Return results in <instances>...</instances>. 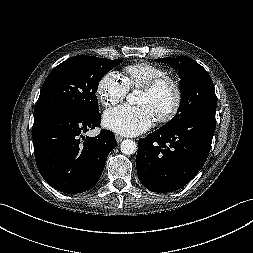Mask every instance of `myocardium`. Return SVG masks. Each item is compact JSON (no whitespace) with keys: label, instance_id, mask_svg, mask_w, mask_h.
I'll return each mask as SVG.
<instances>
[{"label":"myocardium","instance_id":"myocardium-1","mask_svg":"<svg viewBox=\"0 0 253 253\" xmlns=\"http://www.w3.org/2000/svg\"><path fill=\"white\" fill-rule=\"evenodd\" d=\"M163 90H168L170 92L172 101L167 109L156 115V118L160 123H168L178 115L182 105L183 96L178 82L172 77L165 75L143 87V91L153 97L158 96Z\"/></svg>","mask_w":253,"mask_h":253}]
</instances>
